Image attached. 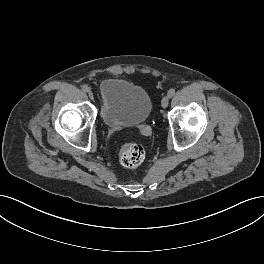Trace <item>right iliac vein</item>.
Returning <instances> with one entry per match:
<instances>
[{"label":"right iliac vein","instance_id":"obj_1","mask_svg":"<svg viewBox=\"0 0 264 264\" xmlns=\"http://www.w3.org/2000/svg\"><path fill=\"white\" fill-rule=\"evenodd\" d=\"M88 95H89V97H90L91 99L94 98V95H93L92 91H88Z\"/></svg>","mask_w":264,"mask_h":264}]
</instances>
